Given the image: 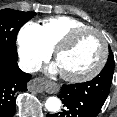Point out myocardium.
<instances>
[{
  "label": "myocardium",
  "mask_w": 117,
  "mask_h": 117,
  "mask_svg": "<svg viewBox=\"0 0 117 117\" xmlns=\"http://www.w3.org/2000/svg\"><path fill=\"white\" fill-rule=\"evenodd\" d=\"M88 32L94 33L100 38L101 43H102L101 58L94 68H92L90 71H88L84 74L68 75V74L61 73L62 78L65 79L66 81L73 82V83H80V82H85V81L91 80L94 77H96L102 71V69L104 68V66L107 62L108 54H109V48H108V43L106 41V38L100 30H98L94 27H90V26L78 28V29L72 30L68 34H66L55 45V47L53 49L54 59L57 61L59 54L63 50L68 48L80 35H82L84 33H88Z\"/></svg>",
  "instance_id": "obj_1"
}]
</instances>
